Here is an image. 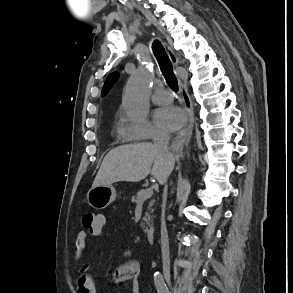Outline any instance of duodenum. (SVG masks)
Instances as JSON below:
<instances>
[{
    "label": "duodenum",
    "instance_id": "410a0bca",
    "mask_svg": "<svg viewBox=\"0 0 293 293\" xmlns=\"http://www.w3.org/2000/svg\"><path fill=\"white\" fill-rule=\"evenodd\" d=\"M147 236H148L149 242L151 244H154L155 239H156V231L153 228H148L147 229Z\"/></svg>",
    "mask_w": 293,
    "mask_h": 293
}]
</instances>
